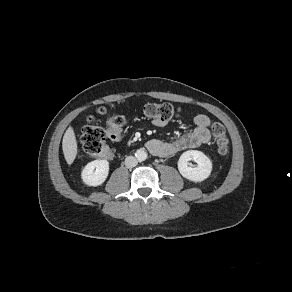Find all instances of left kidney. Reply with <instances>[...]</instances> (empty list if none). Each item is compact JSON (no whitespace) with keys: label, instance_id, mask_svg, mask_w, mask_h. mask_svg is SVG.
Segmentation results:
<instances>
[{"label":"left kidney","instance_id":"left-kidney-1","mask_svg":"<svg viewBox=\"0 0 292 292\" xmlns=\"http://www.w3.org/2000/svg\"><path fill=\"white\" fill-rule=\"evenodd\" d=\"M190 160H195L198 165L193 167ZM178 170L184 178L193 182H201L211 174L212 162L203 152L189 150L180 156Z\"/></svg>","mask_w":292,"mask_h":292}]
</instances>
